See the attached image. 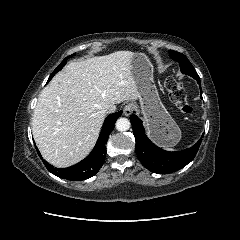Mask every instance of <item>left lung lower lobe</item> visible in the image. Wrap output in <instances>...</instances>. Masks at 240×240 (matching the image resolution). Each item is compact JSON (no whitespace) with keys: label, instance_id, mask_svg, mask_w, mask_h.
Wrapping results in <instances>:
<instances>
[{"label":"left lung lower lobe","instance_id":"0a47b994","mask_svg":"<svg viewBox=\"0 0 240 240\" xmlns=\"http://www.w3.org/2000/svg\"><path fill=\"white\" fill-rule=\"evenodd\" d=\"M200 85L199 76L193 77ZM202 92V91H201ZM136 140V154L145 168L153 173L165 174L175 172L191 162L198 152L202 138L191 148L183 151L168 152L155 146L145 135L142 121L135 115L130 116Z\"/></svg>","mask_w":240,"mask_h":240}]
</instances>
